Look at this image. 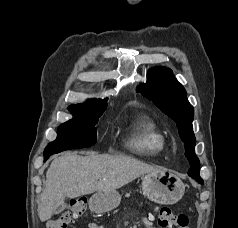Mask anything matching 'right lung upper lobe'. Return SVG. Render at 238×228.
I'll use <instances>...</instances> for the list:
<instances>
[{
    "label": "right lung upper lobe",
    "instance_id": "right-lung-upper-lobe-1",
    "mask_svg": "<svg viewBox=\"0 0 238 228\" xmlns=\"http://www.w3.org/2000/svg\"><path fill=\"white\" fill-rule=\"evenodd\" d=\"M104 103H107L106 99L105 100L92 99L84 104L71 105L68 109L72 113L84 114V113H90L96 106L100 104H104Z\"/></svg>",
    "mask_w": 238,
    "mask_h": 228
}]
</instances>
